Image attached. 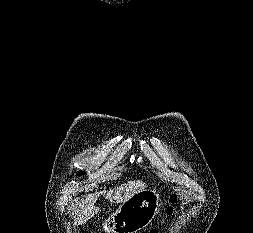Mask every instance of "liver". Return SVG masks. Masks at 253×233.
Instances as JSON below:
<instances>
[{"instance_id": "6515ba94", "label": "liver", "mask_w": 253, "mask_h": 233, "mask_svg": "<svg viewBox=\"0 0 253 233\" xmlns=\"http://www.w3.org/2000/svg\"><path fill=\"white\" fill-rule=\"evenodd\" d=\"M145 188L146 184L142 181H128L107 192L103 191L88 194L78 202L74 209V223L77 225L84 224L100 211V209L94 205L100 195H103L112 203H122Z\"/></svg>"}]
</instances>
